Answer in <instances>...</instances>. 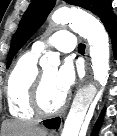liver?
<instances>
[{
    "mask_svg": "<svg viewBox=\"0 0 117 136\" xmlns=\"http://www.w3.org/2000/svg\"><path fill=\"white\" fill-rule=\"evenodd\" d=\"M3 136H46L45 129L38 127L33 122L7 121L3 123Z\"/></svg>",
    "mask_w": 117,
    "mask_h": 136,
    "instance_id": "liver-1",
    "label": "liver"
}]
</instances>
